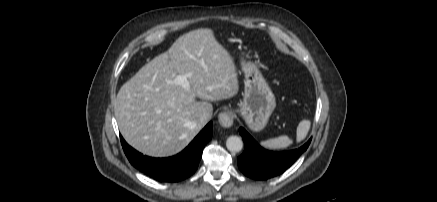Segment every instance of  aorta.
Here are the masks:
<instances>
[{
    "label": "aorta",
    "mask_w": 437,
    "mask_h": 202,
    "mask_svg": "<svg viewBox=\"0 0 437 202\" xmlns=\"http://www.w3.org/2000/svg\"><path fill=\"white\" fill-rule=\"evenodd\" d=\"M226 147L231 152H240L243 148V142L238 136H230L226 140Z\"/></svg>",
    "instance_id": "aorta-1"
}]
</instances>
